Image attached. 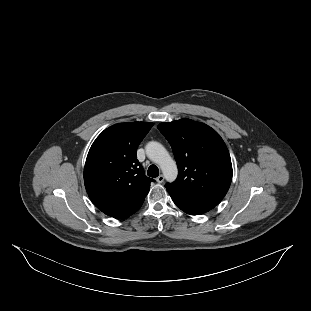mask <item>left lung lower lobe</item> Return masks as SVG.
Segmentation results:
<instances>
[{"instance_id":"1","label":"left lung lower lobe","mask_w":311,"mask_h":311,"mask_svg":"<svg viewBox=\"0 0 311 311\" xmlns=\"http://www.w3.org/2000/svg\"><path fill=\"white\" fill-rule=\"evenodd\" d=\"M168 192L171 198L173 199L174 203L176 204V206H178L181 210L190 215L203 214L215 207V205L212 204L193 201L177 193L171 191Z\"/></svg>"}]
</instances>
